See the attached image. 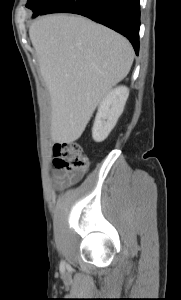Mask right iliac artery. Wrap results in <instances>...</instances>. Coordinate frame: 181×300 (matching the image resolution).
I'll use <instances>...</instances> for the list:
<instances>
[{
    "mask_svg": "<svg viewBox=\"0 0 181 300\" xmlns=\"http://www.w3.org/2000/svg\"><path fill=\"white\" fill-rule=\"evenodd\" d=\"M65 266V262H61V267H64Z\"/></svg>",
    "mask_w": 181,
    "mask_h": 300,
    "instance_id": "82829eb1",
    "label": "right iliac artery"
}]
</instances>
